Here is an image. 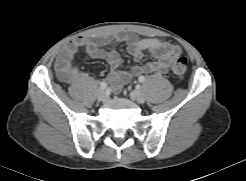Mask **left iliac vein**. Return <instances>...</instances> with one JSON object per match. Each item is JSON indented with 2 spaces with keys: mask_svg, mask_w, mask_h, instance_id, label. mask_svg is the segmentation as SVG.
<instances>
[{
  "mask_svg": "<svg viewBox=\"0 0 246 181\" xmlns=\"http://www.w3.org/2000/svg\"><path fill=\"white\" fill-rule=\"evenodd\" d=\"M130 98L133 101H137L138 103H144L145 102V95L141 90H132L130 92Z\"/></svg>",
  "mask_w": 246,
  "mask_h": 181,
  "instance_id": "obj_1",
  "label": "left iliac vein"
}]
</instances>
